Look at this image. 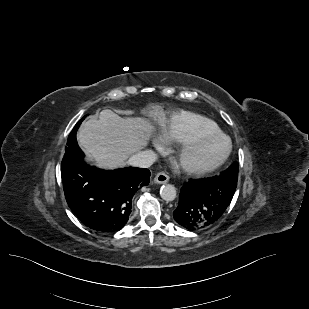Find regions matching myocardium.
I'll return each mask as SVG.
<instances>
[{
	"label": "myocardium",
	"mask_w": 309,
	"mask_h": 309,
	"mask_svg": "<svg viewBox=\"0 0 309 309\" xmlns=\"http://www.w3.org/2000/svg\"><path fill=\"white\" fill-rule=\"evenodd\" d=\"M223 140L226 142V149L223 154L215 161L208 164H196L189 161L190 155L198 149L202 144L214 141ZM232 151V143L230 139L223 133H205L199 134L181 144L176 158L182 170L189 175H205L211 173L222 166L229 158Z\"/></svg>",
	"instance_id": "f54148a6"
}]
</instances>
